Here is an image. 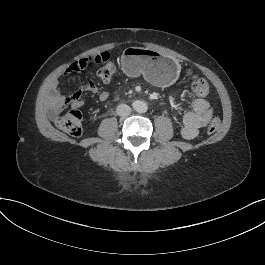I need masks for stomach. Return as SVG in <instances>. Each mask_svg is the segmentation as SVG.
I'll list each match as a JSON object with an SVG mask.
<instances>
[{
    "label": "stomach",
    "mask_w": 265,
    "mask_h": 265,
    "mask_svg": "<svg viewBox=\"0 0 265 265\" xmlns=\"http://www.w3.org/2000/svg\"><path fill=\"white\" fill-rule=\"evenodd\" d=\"M121 64L126 75H143L158 86H170L179 76V65L175 58L147 48H126L121 57Z\"/></svg>",
    "instance_id": "stomach-1"
}]
</instances>
